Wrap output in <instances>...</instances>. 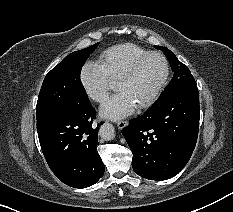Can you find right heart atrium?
<instances>
[{
  "label": "right heart atrium",
  "instance_id": "d8ad5b80",
  "mask_svg": "<svg viewBox=\"0 0 233 212\" xmlns=\"http://www.w3.org/2000/svg\"><path fill=\"white\" fill-rule=\"evenodd\" d=\"M79 81L86 96L94 102L102 103L106 100L111 81L96 63L84 64L79 73Z\"/></svg>",
  "mask_w": 233,
  "mask_h": 212
}]
</instances>
